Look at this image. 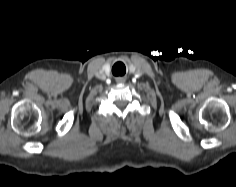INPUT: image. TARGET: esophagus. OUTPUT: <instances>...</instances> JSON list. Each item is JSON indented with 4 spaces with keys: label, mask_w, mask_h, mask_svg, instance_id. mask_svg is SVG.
I'll return each instance as SVG.
<instances>
[{
    "label": "esophagus",
    "mask_w": 236,
    "mask_h": 187,
    "mask_svg": "<svg viewBox=\"0 0 236 187\" xmlns=\"http://www.w3.org/2000/svg\"><path fill=\"white\" fill-rule=\"evenodd\" d=\"M117 81H118V82H123L124 79H122V78H118Z\"/></svg>",
    "instance_id": "1"
}]
</instances>
